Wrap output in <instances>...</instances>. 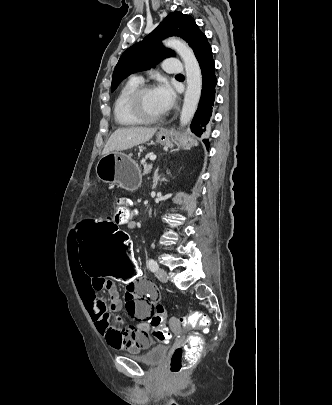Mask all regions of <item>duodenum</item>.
Segmentation results:
<instances>
[{
	"label": "duodenum",
	"mask_w": 332,
	"mask_h": 405,
	"mask_svg": "<svg viewBox=\"0 0 332 405\" xmlns=\"http://www.w3.org/2000/svg\"><path fill=\"white\" fill-rule=\"evenodd\" d=\"M128 226L130 229H135L137 227V216H133L128 221Z\"/></svg>",
	"instance_id": "1"
}]
</instances>
